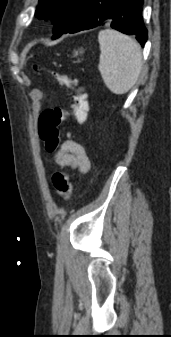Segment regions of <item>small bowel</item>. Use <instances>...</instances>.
<instances>
[{"label": "small bowel", "mask_w": 171, "mask_h": 337, "mask_svg": "<svg viewBox=\"0 0 171 337\" xmlns=\"http://www.w3.org/2000/svg\"><path fill=\"white\" fill-rule=\"evenodd\" d=\"M53 164L67 167L85 174L91 169V162L85 148L67 133V139L53 156Z\"/></svg>", "instance_id": "obj_1"}]
</instances>
